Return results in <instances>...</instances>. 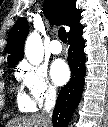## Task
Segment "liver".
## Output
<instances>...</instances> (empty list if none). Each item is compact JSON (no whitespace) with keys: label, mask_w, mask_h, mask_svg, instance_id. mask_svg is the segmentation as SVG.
Masks as SVG:
<instances>
[{"label":"liver","mask_w":108,"mask_h":127,"mask_svg":"<svg viewBox=\"0 0 108 127\" xmlns=\"http://www.w3.org/2000/svg\"><path fill=\"white\" fill-rule=\"evenodd\" d=\"M41 115L23 116L11 119L5 127H47Z\"/></svg>","instance_id":"obj_1"}]
</instances>
